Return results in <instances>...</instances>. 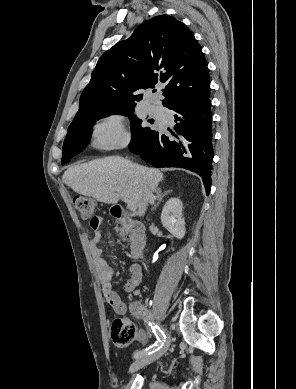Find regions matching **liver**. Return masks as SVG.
I'll list each match as a JSON object with an SVG mask.
<instances>
[{"mask_svg":"<svg viewBox=\"0 0 296 389\" xmlns=\"http://www.w3.org/2000/svg\"><path fill=\"white\" fill-rule=\"evenodd\" d=\"M163 173L144 167L119 156L105 157L69 167L62 181L76 193L93 197L99 202L115 204L124 193L135 202L139 215H143L144 191L152 194L153 203ZM119 191V192H118Z\"/></svg>","mask_w":296,"mask_h":389,"instance_id":"liver-1","label":"liver"}]
</instances>
